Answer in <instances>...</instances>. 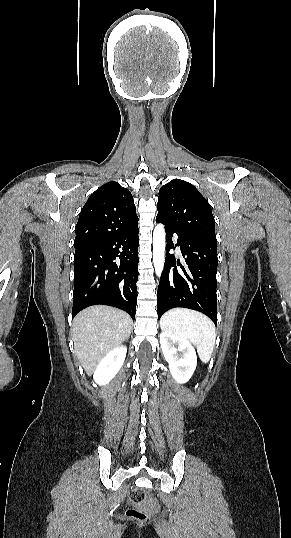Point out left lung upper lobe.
Masks as SVG:
<instances>
[{"label": "left lung upper lobe", "mask_w": 291, "mask_h": 538, "mask_svg": "<svg viewBox=\"0 0 291 538\" xmlns=\"http://www.w3.org/2000/svg\"><path fill=\"white\" fill-rule=\"evenodd\" d=\"M157 217L179 231L216 239L208 201L189 182L173 179L160 188Z\"/></svg>", "instance_id": "1"}]
</instances>
